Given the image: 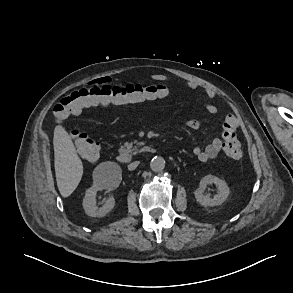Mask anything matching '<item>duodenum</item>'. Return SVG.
<instances>
[{"label":"duodenum","mask_w":293,"mask_h":293,"mask_svg":"<svg viewBox=\"0 0 293 293\" xmlns=\"http://www.w3.org/2000/svg\"><path fill=\"white\" fill-rule=\"evenodd\" d=\"M140 151L143 153L153 154L156 152V149L151 146H142ZM117 160L121 164H129L133 160V155L127 152H121L117 155Z\"/></svg>","instance_id":"duodenum-1"}]
</instances>
